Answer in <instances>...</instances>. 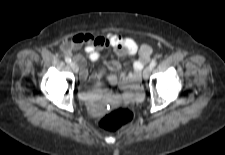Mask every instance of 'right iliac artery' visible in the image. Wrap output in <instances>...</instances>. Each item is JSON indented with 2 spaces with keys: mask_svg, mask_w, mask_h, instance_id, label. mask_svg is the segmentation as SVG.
Wrapping results in <instances>:
<instances>
[{
  "mask_svg": "<svg viewBox=\"0 0 225 155\" xmlns=\"http://www.w3.org/2000/svg\"><path fill=\"white\" fill-rule=\"evenodd\" d=\"M65 61H66V63H68V64H70V63L72 62L71 58H69V57H66V58H65Z\"/></svg>",
  "mask_w": 225,
  "mask_h": 155,
  "instance_id": "1",
  "label": "right iliac artery"
}]
</instances>
